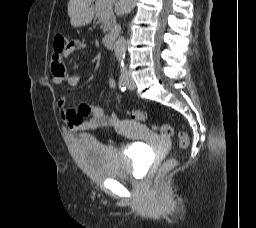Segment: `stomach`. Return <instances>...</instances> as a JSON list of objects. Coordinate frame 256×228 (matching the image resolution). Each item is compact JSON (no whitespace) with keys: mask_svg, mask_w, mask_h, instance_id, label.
<instances>
[{"mask_svg":"<svg viewBox=\"0 0 256 228\" xmlns=\"http://www.w3.org/2000/svg\"><path fill=\"white\" fill-rule=\"evenodd\" d=\"M70 18L71 25L73 27L85 26L94 18V10L90 5H88L77 10Z\"/></svg>","mask_w":256,"mask_h":228,"instance_id":"0dacf381","label":"stomach"}]
</instances>
